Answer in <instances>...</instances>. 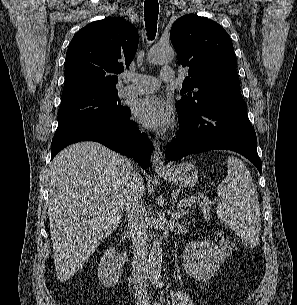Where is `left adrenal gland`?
I'll return each instance as SVG.
<instances>
[{
  "label": "left adrenal gland",
  "instance_id": "left-adrenal-gland-1",
  "mask_svg": "<svg viewBox=\"0 0 297 305\" xmlns=\"http://www.w3.org/2000/svg\"><path fill=\"white\" fill-rule=\"evenodd\" d=\"M175 206V204H174ZM174 210V209H173ZM187 211L186 210H179L177 212H174L172 213L173 217H175L176 220H179L181 218V216H183L184 214H186Z\"/></svg>",
  "mask_w": 297,
  "mask_h": 305
}]
</instances>
